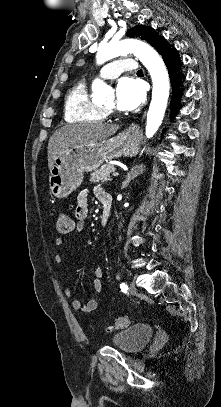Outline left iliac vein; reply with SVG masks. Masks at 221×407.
<instances>
[{
  "instance_id": "left-iliac-vein-1",
  "label": "left iliac vein",
  "mask_w": 221,
  "mask_h": 407,
  "mask_svg": "<svg viewBox=\"0 0 221 407\" xmlns=\"http://www.w3.org/2000/svg\"><path fill=\"white\" fill-rule=\"evenodd\" d=\"M129 292H130L131 294H133V295L136 294L137 289H136V285H135L134 282H131V283H130Z\"/></svg>"
}]
</instances>
